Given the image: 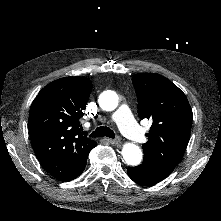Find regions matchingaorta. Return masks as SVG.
<instances>
[{
    "label": "aorta",
    "instance_id": "1",
    "mask_svg": "<svg viewBox=\"0 0 221 221\" xmlns=\"http://www.w3.org/2000/svg\"><path fill=\"white\" fill-rule=\"evenodd\" d=\"M99 105L105 111H112L118 106V96L113 91L103 93L99 97ZM124 161L130 166H137L141 163L143 154L139 146L133 143H125L122 147Z\"/></svg>",
    "mask_w": 221,
    "mask_h": 221
}]
</instances>
